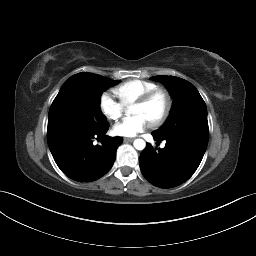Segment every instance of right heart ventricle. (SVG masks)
Here are the masks:
<instances>
[{"mask_svg":"<svg viewBox=\"0 0 256 256\" xmlns=\"http://www.w3.org/2000/svg\"><path fill=\"white\" fill-rule=\"evenodd\" d=\"M156 88H158V85L153 82L133 79L120 84L119 86L113 88L112 91L120 100L121 104L127 107L136 102L137 99L148 91Z\"/></svg>","mask_w":256,"mask_h":256,"instance_id":"right-heart-ventricle-1","label":"right heart ventricle"}]
</instances>
